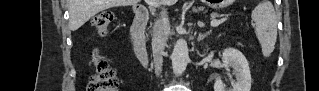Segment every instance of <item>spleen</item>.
Here are the masks:
<instances>
[{
    "mask_svg": "<svg viewBox=\"0 0 319 91\" xmlns=\"http://www.w3.org/2000/svg\"><path fill=\"white\" fill-rule=\"evenodd\" d=\"M251 17L255 23V34L262 47L263 56L267 58L273 52L277 39L278 19L272 3L267 0L258 4Z\"/></svg>",
    "mask_w": 319,
    "mask_h": 91,
    "instance_id": "1",
    "label": "spleen"
}]
</instances>
